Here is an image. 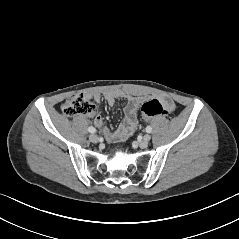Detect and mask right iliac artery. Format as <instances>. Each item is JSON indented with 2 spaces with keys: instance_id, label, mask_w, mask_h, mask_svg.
<instances>
[{
  "instance_id": "right-iliac-artery-1",
  "label": "right iliac artery",
  "mask_w": 239,
  "mask_h": 239,
  "mask_svg": "<svg viewBox=\"0 0 239 239\" xmlns=\"http://www.w3.org/2000/svg\"><path fill=\"white\" fill-rule=\"evenodd\" d=\"M88 131H89L90 133H95V132H96V129L91 126V127L88 128Z\"/></svg>"
}]
</instances>
